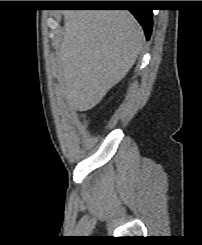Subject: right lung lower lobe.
I'll return each instance as SVG.
<instances>
[{"label":"right lung lower lobe","mask_w":202,"mask_h":245,"mask_svg":"<svg viewBox=\"0 0 202 245\" xmlns=\"http://www.w3.org/2000/svg\"><path fill=\"white\" fill-rule=\"evenodd\" d=\"M129 4L141 5L140 1H134ZM89 6H117L115 3H92ZM138 22L142 25L144 32L146 34V39L149 40L152 30V10L143 7H134L129 10Z\"/></svg>","instance_id":"obj_1"}]
</instances>
